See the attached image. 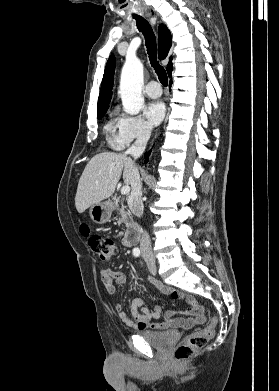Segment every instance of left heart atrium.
Listing matches in <instances>:
<instances>
[{
  "mask_svg": "<svg viewBox=\"0 0 279 391\" xmlns=\"http://www.w3.org/2000/svg\"><path fill=\"white\" fill-rule=\"evenodd\" d=\"M144 113L151 124L157 125L164 118L165 105L162 101H152L145 107Z\"/></svg>",
  "mask_w": 279,
  "mask_h": 391,
  "instance_id": "1",
  "label": "left heart atrium"
}]
</instances>
